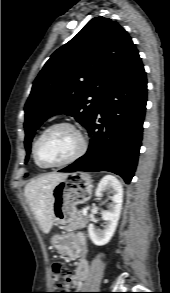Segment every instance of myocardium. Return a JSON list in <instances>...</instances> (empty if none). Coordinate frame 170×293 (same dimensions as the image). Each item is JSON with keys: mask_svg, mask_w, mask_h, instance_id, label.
I'll use <instances>...</instances> for the list:
<instances>
[{"mask_svg": "<svg viewBox=\"0 0 170 293\" xmlns=\"http://www.w3.org/2000/svg\"><path fill=\"white\" fill-rule=\"evenodd\" d=\"M59 127H66V128L71 129L72 131H74L80 139V143H81L80 148L72 157H70L64 161H61L58 163H53V164L45 163L39 158V154H38L39 145H40L42 139L46 136V134H48L53 129L59 128ZM86 150H87V141H86V138L84 137L83 133L76 126H74L71 123L58 122V123L50 125L49 127H47L45 130H43L41 132V134L39 135V137L37 138V140L34 143L33 156H34L35 162L39 166L44 167V168H57V167H62V166H65V165H68L70 163L77 161L79 158H81L85 154Z\"/></svg>", "mask_w": 170, "mask_h": 293, "instance_id": "f54148a6", "label": "myocardium"}]
</instances>
